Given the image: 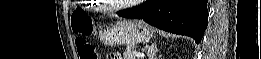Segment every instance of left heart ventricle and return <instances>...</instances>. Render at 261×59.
<instances>
[{"label": "left heart ventricle", "instance_id": "left-heart-ventricle-1", "mask_svg": "<svg viewBox=\"0 0 261 59\" xmlns=\"http://www.w3.org/2000/svg\"><path fill=\"white\" fill-rule=\"evenodd\" d=\"M124 2H127V1H122V0H120V1H113V3H115V4H121V3H124Z\"/></svg>", "mask_w": 261, "mask_h": 59}]
</instances>
